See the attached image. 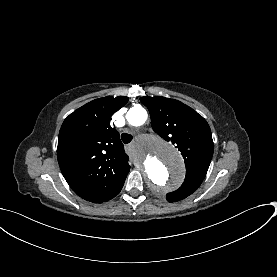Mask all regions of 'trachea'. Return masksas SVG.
Instances as JSON below:
<instances>
[{"label": "trachea", "instance_id": "obj_1", "mask_svg": "<svg viewBox=\"0 0 277 277\" xmlns=\"http://www.w3.org/2000/svg\"><path fill=\"white\" fill-rule=\"evenodd\" d=\"M133 137L132 135L128 133H122L121 134V140L123 141L124 144H128L132 141Z\"/></svg>", "mask_w": 277, "mask_h": 277}]
</instances>
